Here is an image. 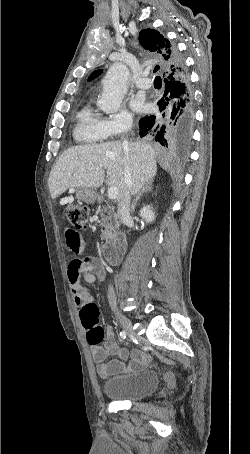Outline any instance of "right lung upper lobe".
I'll return each instance as SVG.
<instances>
[{
  "instance_id": "cb5924a9",
  "label": "right lung upper lobe",
  "mask_w": 250,
  "mask_h": 454,
  "mask_svg": "<svg viewBox=\"0 0 250 454\" xmlns=\"http://www.w3.org/2000/svg\"><path fill=\"white\" fill-rule=\"evenodd\" d=\"M139 42L141 46L148 50L153 58L159 60L160 66L156 67L160 69L163 75L171 73L174 66H171V54L169 52L170 42L164 38L157 30L145 29L139 33ZM102 73V70L94 71L88 78L93 80Z\"/></svg>"
}]
</instances>
